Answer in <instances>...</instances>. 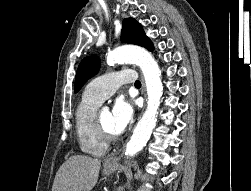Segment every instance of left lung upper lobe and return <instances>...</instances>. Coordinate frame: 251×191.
I'll use <instances>...</instances> for the list:
<instances>
[{
    "mask_svg": "<svg viewBox=\"0 0 251 191\" xmlns=\"http://www.w3.org/2000/svg\"><path fill=\"white\" fill-rule=\"evenodd\" d=\"M121 40L122 42L145 47L149 51L154 49L142 26L133 18L123 20ZM99 66L100 61L96 56L86 57L81 61L75 77V92H78L83 84L98 72Z\"/></svg>",
    "mask_w": 251,
    "mask_h": 191,
    "instance_id": "1",
    "label": "left lung upper lobe"
}]
</instances>
